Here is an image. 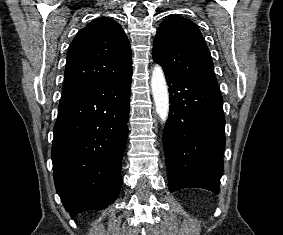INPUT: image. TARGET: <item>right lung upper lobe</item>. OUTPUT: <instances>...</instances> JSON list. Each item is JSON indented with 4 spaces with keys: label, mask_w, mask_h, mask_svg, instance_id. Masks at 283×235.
Returning <instances> with one entry per match:
<instances>
[{
    "label": "right lung upper lobe",
    "mask_w": 283,
    "mask_h": 235,
    "mask_svg": "<svg viewBox=\"0 0 283 235\" xmlns=\"http://www.w3.org/2000/svg\"><path fill=\"white\" fill-rule=\"evenodd\" d=\"M130 73L132 54L125 32L111 18L95 19L77 33L68 48L62 96Z\"/></svg>",
    "instance_id": "cb5924a9"
}]
</instances>
